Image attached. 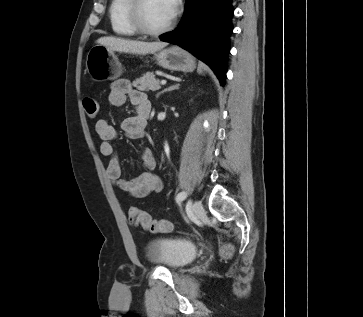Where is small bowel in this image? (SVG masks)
I'll list each match as a JSON object with an SVG mask.
<instances>
[{
  "instance_id": "1",
  "label": "small bowel",
  "mask_w": 363,
  "mask_h": 317,
  "mask_svg": "<svg viewBox=\"0 0 363 317\" xmlns=\"http://www.w3.org/2000/svg\"><path fill=\"white\" fill-rule=\"evenodd\" d=\"M127 99L136 107V114L125 118L121 123V129L129 139H142L146 134L147 120L151 111L150 101L144 92L133 89L128 80H116L108 95L109 103L122 106ZM95 132L101 139V154L109 159L107 177L113 185L136 198H143L163 189L162 179L153 172L156 162L149 148H143L140 153L144 171L135 179L126 180L122 177V166L113 145L118 136L117 130L108 121L98 120L95 123Z\"/></svg>"
}]
</instances>
